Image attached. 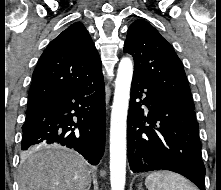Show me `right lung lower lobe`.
<instances>
[{"instance_id":"obj_1","label":"right lung lower lobe","mask_w":221,"mask_h":190,"mask_svg":"<svg viewBox=\"0 0 221 190\" xmlns=\"http://www.w3.org/2000/svg\"><path fill=\"white\" fill-rule=\"evenodd\" d=\"M105 89L103 75L28 107L21 149L37 144L73 148L92 165L105 149Z\"/></svg>"}]
</instances>
